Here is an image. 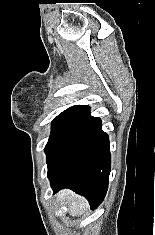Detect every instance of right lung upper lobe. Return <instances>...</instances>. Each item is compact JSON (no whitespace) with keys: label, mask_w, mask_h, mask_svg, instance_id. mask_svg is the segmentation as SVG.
Instances as JSON below:
<instances>
[{"label":"right lung upper lobe","mask_w":155,"mask_h":235,"mask_svg":"<svg viewBox=\"0 0 155 235\" xmlns=\"http://www.w3.org/2000/svg\"><path fill=\"white\" fill-rule=\"evenodd\" d=\"M90 108L85 105H76L63 111L60 115L72 117L81 121L96 123L99 118L92 117L89 114Z\"/></svg>","instance_id":"1"}]
</instances>
